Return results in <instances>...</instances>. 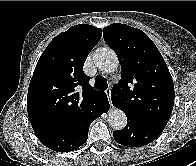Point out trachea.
Segmentation results:
<instances>
[{
  "label": "trachea",
  "mask_w": 196,
  "mask_h": 166,
  "mask_svg": "<svg viewBox=\"0 0 196 166\" xmlns=\"http://www.w3.org/2000/svg\"><path fill=\"white\" fill-rule=\"evenodd\" d=\"M108 87L107 80L102 76H97L95 79V88L98 90H106Z\"/></svg>",
  "instance_id": "trachea-1"
}]
</instances>
